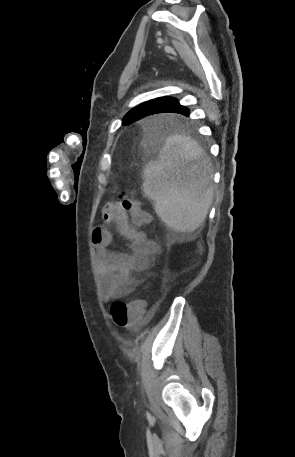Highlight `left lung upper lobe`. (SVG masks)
Returning <instances> with one entry per match:
<instances>
[{
  "instance_id": "5c2ea615",
  "label": "left lung upper lobe",
  "mask_w": 295,
  "mask_h": 457,
  "mask_svg": "<svg viewBox=\"0 0 295 457\" xmlns=\"http://www.w3.org/2000/svg\"><path fill=\"white\" fill-rule=\"evenodd\" d=\"M169 97H160L144 102L130 110L123 118V123L130 124L151 114L152 109Z\"/></svg>"
}]
</instances>
